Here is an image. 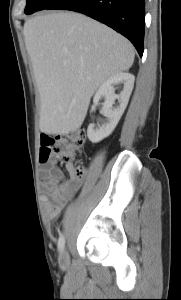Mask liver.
I'll use <instances>...</instances> for the list:
<instances>
[{"mask_svg":"<svg viewBox=\"0 0 181 300\" xmlns=\"http://www.w3.org/2000/svg\"><path fill=\"white\" fill-rule=\"evenodd\" d=\"M23 34L40 94L39 127L49 135L80 128L98 87L134 62L130 41L80 13L37 15Z\"/></svg>","mask_w":181,"mask_h":300,"instance_id":"liver-1","label":"liver"}]
</instances>
